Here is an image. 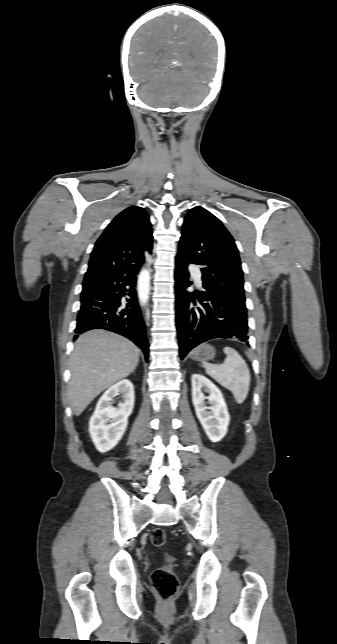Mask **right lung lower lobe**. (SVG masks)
Masks as SVG:
<instances>
[{"label":"right lung lower lobe","mask_w":337,"mask_h":644,"mask_svg":"<svg viewBox=\"0 0 337 644\" xmlns=\"http://www.w3.org/2000/svg\"><path fill=\"white\" fill-rule=\"evenodd\" d=\"M142 264L117 269L82 293L75 331L105 329L118 333L133 341L148 361L146 326L134 288Z\"/></svg>","instance_id":"right-lung-lower-lobe-1"}]
</instances>
